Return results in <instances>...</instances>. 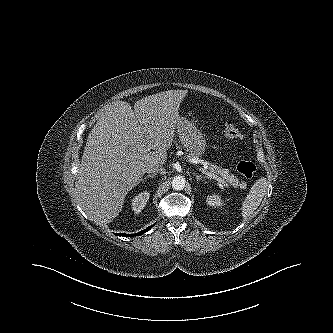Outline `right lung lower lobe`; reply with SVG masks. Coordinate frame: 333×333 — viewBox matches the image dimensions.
Masks as SVG:
<instances>
[{"label":"right lung lower lobe","mask_w":333,"mask_h":333,"mask_svg":"<svg viewBox=\"0 0 333 333\" xmlns=\"http://www.w3.org/2000/svg\"><path fill=\"white\" fill-rule=\"evenodd\" d=\"M152 227H153V225L150 226V227H148L147 229H145L143 232H138V233H136V234H132V235H131V234H127V235H124V234H118V235H119V236H137V235H141V234L147 232V231L150 230Z\"/></svg>","instance_id":"obj_1"}]
</instances>
